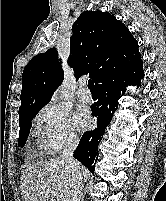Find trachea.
Here are the masks:
<instances>
[{
    "instance_id": "obj_1",
    "label": "trachea",
    "mask_w": 166,
    "mask_h": 201,
    "mask_svg": "<svg viewBox=\"0 0 166 201\" xmlns=\"http://www.w3.org/2000/svg\"><path fill=\"white\" fill-rule=\"evenodd\" d=\"M88 88L90 90H95V86H94V83L92 82V80H88Z\"/></svg>"
}]
</instances>
